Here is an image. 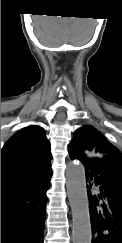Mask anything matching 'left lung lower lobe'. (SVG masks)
Segmentation results:
<instances>
[{
  "instance_id": "obj_1",
  "label": "left lung lower lobe",
  "mask_w": 122,
  "mask_h": 243,
  "mask_svg": "<svg viewBox=\"0 0 122 243\" xmlns=\"http://www.w3.org/2000/svg\"><path fill=\"white\" fill-rule=\"evenodd\" d=\"M82 162L88 182L91 243H122V159L106 156ZM92 186L98 187L95 195Z\"/></svg>"
}]
</instances>
